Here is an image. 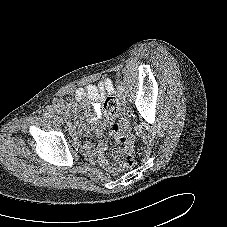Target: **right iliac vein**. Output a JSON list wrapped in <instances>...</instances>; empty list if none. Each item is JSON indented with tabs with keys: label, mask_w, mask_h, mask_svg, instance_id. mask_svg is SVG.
I'll return each mask as SVG.
<instances>
[{
	"label": "right iliac vein",
	"mask_w": 227,
	"mask_h": 227,
	"mask_svg": "<svg viewBox=\"0 0 227 227\" xmlns=\"http://www.w3.org/2000/svg\"><path fill=\"white\" fill-rule=\"evenodd\" d=\"M53 119H54V121H56V122H58V123H61V124L64 123L63 119L60 118L59 116H53Z\"/></svg>",
	"instance_id": "right-iliac-vein-1"
}]
</instances>
